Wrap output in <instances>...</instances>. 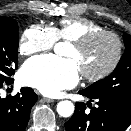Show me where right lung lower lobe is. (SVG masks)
<instances>
[{
	"mask_svg": "<svg viewBox=\"0 0 131 131\" xmlns=\"http://www.w3.org/2000/svg\"><path fill=\"white\" fill-rule=\"evenodd\" d=\"M6 82V84H10ZM4 83L0 84V88ZM38 96L31 88H22L15 96L0 97V131H25L30 111Z\"/></svg>",
	"mask_w": 131,
	"mask_h": 131,
	"instance_id": "obj_1",
	"label": "right lung lower lobe"
}]
</instances>
